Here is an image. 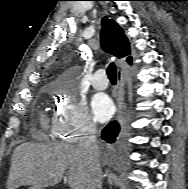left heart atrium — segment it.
Returning a JSON list of instances; mask_svg holds the SVG:
<instances>
[{
	"label": "left heart atrium",
	"mask_w": 188,
	"mask_h": 189,
	"mask_svg": "<svg viewBox=\"0 0 188 189\" xmlns=\"http://www.w3.org/2000/svg\"><path fill=\"white\" fill-rule=\"evenodd\" d=\"M91 108L94 117L100 121H107L114 112V106L111 99L103 93H98L91 100Z\"/></svg>",
	"instance_id": "obj_1"
}]
</instances>
